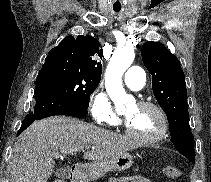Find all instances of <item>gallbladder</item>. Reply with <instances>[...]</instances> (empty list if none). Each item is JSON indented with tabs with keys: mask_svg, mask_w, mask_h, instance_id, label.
Returning <instances> with one entry per match:
<instances>
[{
	"mask_svg": "<svg viewBox=\"0 0 211 182\" xmlns=\"http://www.w3.org/2000/svg\"><path fill=\"white\" fill-rule=\"evenodd\" d=\"M62 172H63V170L59 169V170H57V171L55 172V175H56L57 177H60L61 174H62Z\"/></svg>",
	"mask_w": 211,
	"mask_h": 182,
	"instance_id": "bac80fb5",
	"label": "gallbladder"
}]
</instances>
